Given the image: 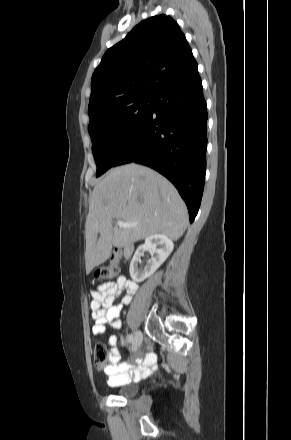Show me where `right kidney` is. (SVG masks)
<instances>
[{
	"label": "right kidney",
	"instance_id": "obj_1",
	"mask_svg": "<svg viewBox=\"0 0 291 440\" xmlns=\"http://www.w3.org/2000/svg\"><path fill=\"white\" fill-rule=\"evenodd\" d=\"M174 244L171 239L163 234H154L145 239L139 246L130 263V276L135 282H142L150 277L173 251ZM149 251L151 258L145 266L141 265V257Z\"/></svg>",
	"mask_w": 291,
	"mask_h": 440
}]
</instances>
